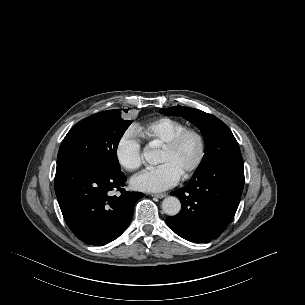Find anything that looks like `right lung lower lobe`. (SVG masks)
<instances>
[{
  "mask_svg": "<svg viewBox=\"0 0 305 305\" xmlns=\"http://www.w3.org/2000/svg\"><path fill=\"white\" fill-rule=\"evenodd\" d=\"M123 172L86 167L56 169L55 193L70 230L88 245L102 246L119 237L129 225L140 192L123 189ZM112 190L121 192L111 196Z\"/></svg>",
  "mask_w": 305,
  "mask_h": 305,
  "instance_id": "98d812e1",
  "label": "right lung lower lobe"
}]
</instances>
